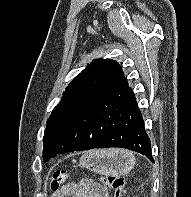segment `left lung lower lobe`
<instances>
[{
	"label": "left lung lower lobe",
	"instance_id": "left-lung-lower-lobe-1",
	"mask_svg": "<svg viewBox=\"0 0 191 197\" xmlns=\"http://www.w3.org/2000/svg\"><path fill=\"white\" fill-rule=\"evenodd\" d=\"M64 130L72 152L119 147L141 153L153 161L142 114L127 81L91 97Z\"/></svg>",
	"mask_w": 191,
	"mask_h": 197
}]
</instances>
